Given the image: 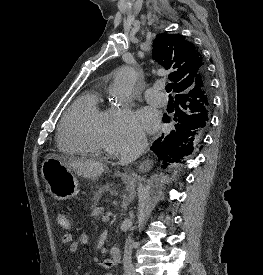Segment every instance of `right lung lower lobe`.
<instances>
[{
    "label": "right lung lower lobe",
    "mask_w": 263,
    "mask_h": 275,
    "mask_svg": "<svg viewBox=\"0 0 263 275\" xmlns=\"http://www.w3.org/2000/svg\"><path fill=\"white\" fill-rule=\"evenodd\" d=\"M202 76L208 80L206 70L202 71ZM202 93H196L194 97L199 98ZM195 98L185 104L187 97H175L176 113L171 118L175 122L174 129L158 138L151 147L164 165L178 162L183 156L191 154L204 134L209 118L201 112V108L192 105ZM163 122H170V117L165 114Z\"/></svg>",
    "instance_id": "right-lung-lower-lobe-1"
}]
</instances>
